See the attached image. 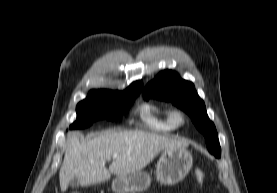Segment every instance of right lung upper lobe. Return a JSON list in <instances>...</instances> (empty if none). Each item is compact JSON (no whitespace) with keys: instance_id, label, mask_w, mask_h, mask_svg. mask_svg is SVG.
I'll use <instances>...</instances> for the list:
<instances>
[{"instance_id":"right-lung-upper-lobe-1","label":"right lung upper lobe","mask_w":277,"mask_h":193,"mask_svg":"<svg viewBox=\"0 0 277 193\" xmlns=\"http://www.w3.org/2000/svg\"><path fill=\"white\" fill-rule=\"evenodd\" d=\"M143 87V83L141 81H137L132 83L124 92L119 91H111V90H91L90 92H99L106 94H130V93H140Z\"/></svg>"}]
</instances>
